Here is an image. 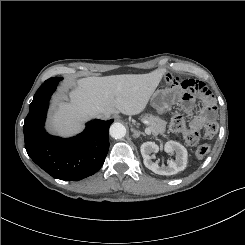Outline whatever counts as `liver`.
<instances>
[{"mask_svg": "<svg viewBox=\"0 0 245 245\" xmlns=\"http://www.w3.org/2000/svg\"><path fill=\"white\" fill-rule=\"evenodd\" d=\"M164 69L147 74H124L79 79L69 93L70 103L57 102L52 130L61 135L77 133L82 123L98 113L108 115L141 113L159 85ZM107 118V119H108Z\"/></svg>", "mask_w": 245, "mask_h": 245, "instance_id": "6515ba94", "label": "liver"}]
</instances>
